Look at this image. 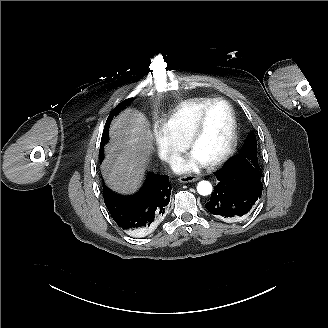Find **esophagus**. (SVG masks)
I'll list each match as a JSON object with an SVG mask.
<instances>
[{
	"instance_id": "esophagus-1",
	"label": "esophagus",
	"mask_w": 328,
	"mask_h": 328,
	"mask_svg": "<svg viewBox=\"0 0 328 328\" xmlns=\"http://www.w3.org/2000/svg\"><path fill=\"white\" fill-rule=\"evenodd\" d=\"M197 180H198V177L194 176V175H186V176H182L178 179V181L181 183H189V182H194Z\"/></svg>"
}]
</instances>
